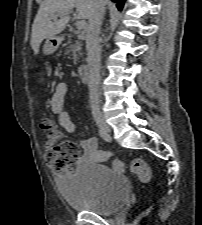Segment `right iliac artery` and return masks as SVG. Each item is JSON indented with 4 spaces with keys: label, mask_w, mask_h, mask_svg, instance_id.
<instances>
[{
    "label": "right iliac artery",
    "mask_w": 202,
    "mask_h": 225,
    "mask_svg": "<svg viewBox=\"0 0 202 225\" xmlns=\"http://www.w3.org/2000/svg\"><path fill=\"white\" fill-rule=\"evenodd\" d=\"M98 132H99V135L102 139H104L107 142L111 141V138L107 133L103 132L102 130H98Z\"/></svg>",
    "instance_id": "obj_1"
}]
</instances>
